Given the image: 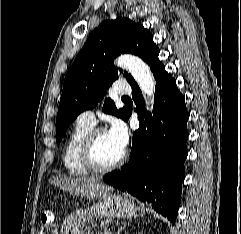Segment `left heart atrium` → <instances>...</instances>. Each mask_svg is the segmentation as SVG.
<instances>
[{
	"instance_id": "obj_1",
	"label": "left heart atrium",
	"mask_w": 241,
	"mask_h": 234,
	"mask_svg": "<svg viewBox=\"0 0 241 234\" xmlns=\"http://www.w3.org/2000/svg\"><path fill=\"white\" fill-rule=\"evenodd\" d=\"M108 134L115 143L124 150L128 143V132L124 123L119 119H113Z\"/></svg>"
}]
</instances>
